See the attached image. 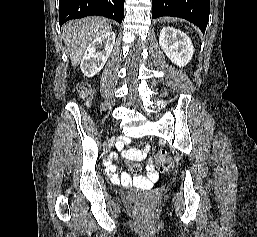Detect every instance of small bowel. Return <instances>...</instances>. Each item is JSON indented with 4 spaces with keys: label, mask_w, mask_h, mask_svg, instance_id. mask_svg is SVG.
<instances>
[{
    "label": "small bowel",
    "mask_w": 257,
    "mask_h": 237,
    "mask_svg": "<svg viewBox=\"0 0 257 237\" xmlns=\"http://www.w3.org/2000/svg\"><path fill=\"white\" fill-rule=\"evenodd\" d=\"M128 155L131 158L142 159L144 157L143 153L138 151H129ZM107 173L112 178V180L116 183H120L122 185H128L134 180L137 184L141 186H148L152 181L157 179V173L154 171L153 164L151 162L148 163L147 173L143 176H137L134 179L131 178L130 174L127 172H122L120 174L115 173V166L109 164L107 166Z\"/></svg>",
    "instance_id": "c3829d8e"
}]
</instances>
